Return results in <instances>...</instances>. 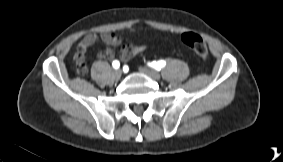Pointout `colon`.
Returning a JSON list of instances; mask_svg holds the SVG:
<instances>
[{
    "mask_svg": "<svg viewBox=\"0 0 283 162\" xmlns=\"http://www.w3.org/2000/svg\"><path fill=\"white\" fill-rule=\"evenodd\" d=\"M182 42L190 47L202 60H206L208 57V49L205 41L200 35L194 32H186L181 36ZM76 70L77 73L82 74L85 70V64L82 60L76 59Z\"/></svg>",
    "mask_w": 283,
    "mask_h": 162,
    "instance_id": "colon-1",
    "label": "colon"
}]
</instances>
